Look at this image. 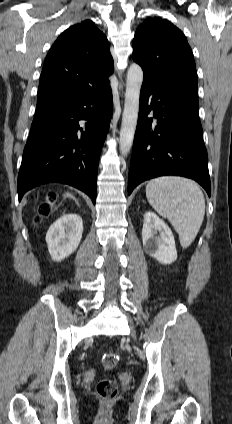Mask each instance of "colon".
I'll use <instances>...</instances> for the list:
<instances>
[{"label":"colon","instance_id":"1","mask_svg":"<svg viewBox=\"0 0 232 424\" xmlns=\"http://www.w3.org/2000/svg\"><path fill=\"white\" fill-rule=\"evenodd\" d=\"M56 194L51 191L48 192L45 198V201L41 202L37 206V215L36 222L40 223L43 218L50 215L52 211L53 203L55 202ZM118 361V357L113 352L105 353L102 357V365L104 369L110 370L113 369ZM96 392L98 396L105 400L110 401L116 398L118 394V386L114 380L102 379L96 385Z\"/></svg>","mask_w":232,"mask_h":424}]
</instances>
